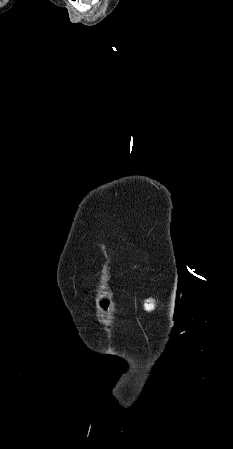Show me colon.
Segmentation results:
<instances>
[{"instance_id": "1", "label": "colon", "mask_w": 233, "mask_h": 449, "mask_svg": "<svg viewBox=\"0 0 233 449\" xmlns=\"http://www.w3.org/2000/svg\"><path fill=\"white\" fill-rule=\"evenodd\" d=\"M99 302L101 305L105 306L107 310H114L116 308V303L114 301H108L105 297L101 298ZM106 315L110 318L113 314L109 311Z\"/></svg>"}]
</instances>
